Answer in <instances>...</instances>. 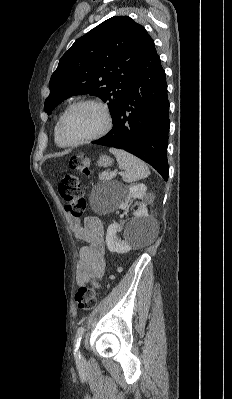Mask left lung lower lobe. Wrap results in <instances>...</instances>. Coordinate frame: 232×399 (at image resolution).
Here are the masks:
<instances>
[{
    "label": "left lung lower lobe",
    "instance_id": "obj_1",
    "mask_svg": "<svg viewBox=\"0 0 232 399\" xmlns=\"http://www.w3.org/2000/svg\"><path fill=\"white\" fill-rule=\"evenodd\" d=\"M169 101L165 71L152 40L133 74L113 128L93 144L123 149L168 179Z\"/></svg>",
    "mask_w": 232,
    "mask_h": 399
}]
</instances>
